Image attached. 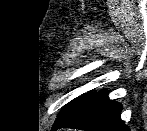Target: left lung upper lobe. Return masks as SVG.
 I'll list each match as a JSON object with an SVG mask.
<instances>
[{"instance_id": "left-lung-upper-lobe-1", "label": "left lung upper lobe", "mask_w": 147, "mask_h": 131, "mask_svg": "<svg viewBox=\"0 0 147 131\" xmlns=\"http://www.w3.org/2000/svg\"><path fill=\"white\" fill-rule=\"evenodd\" d=\"M93 94L94 93L80 96L78 99L73 100L69 104L65 105L62 111L59 113L54 125L63 123L69 117L74 115L92 97Z\"/></svg>"}]
</instances>
